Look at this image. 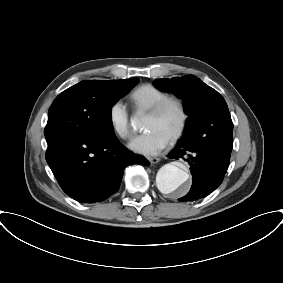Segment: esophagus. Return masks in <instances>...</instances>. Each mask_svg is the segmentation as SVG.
I'll use <instances>...</instances> for the list:
<instances>
[{
    "label": "esophagus",
    "mask_w": 283,
    "mask_h": 283,
    "mask_svg": "<svg viewBox=\"0 0 283 283\" xmlns=\"http://www.w3.org/2000/svg\"><path fill=\"white\" fill-rule=\"evenodd\" d=\"M148 160L151 164H155V163H158L160 161V158L150 157V158H148Z\"/></svg>",
    "instance_id": "esophagus-1"
}]
</instances>
